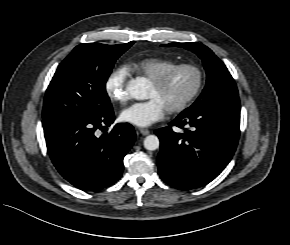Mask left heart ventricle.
I'll return each mask as SVG.
<instances>
[{
    "label": "left heart ventricle",
    "mask_w": 290,
    "mask_h": 245,
    "mask_svg": "<svg viewBox=\"0 0 290 245\" xmlns=\"http://www.w3.org/2000/svg\"><path fill=\"white\" fill-rule=\"evenodd\" d=\"M196 82L197 74L193 70L182 69L175 72L162 88L151 83L147 97L159 99L166 109H169L185 99Z\"/></svg>",
    "instance_id": "b2bd125f"
}]
</instances>
